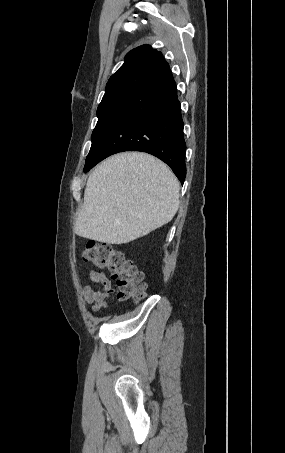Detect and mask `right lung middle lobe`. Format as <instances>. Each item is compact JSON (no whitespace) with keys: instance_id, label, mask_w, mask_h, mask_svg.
<instances>
[{"instance_id":"obj_1","label":"right lung middle lobe","mask_w":285,"mask_h":453,"mask_svg":"<svg viewBox=\"0 0 285 453\" xmlns=\"http://www.w3.org/2000/svg\"><path fill=\"white\" fill-rule=\"evenodd\" d=\"M131 96L132 94H127L99 104L97 109L98 122L92 133V145L86 158L85 167L91 163L115 117Z\"/></svg>"}]
</instances>
